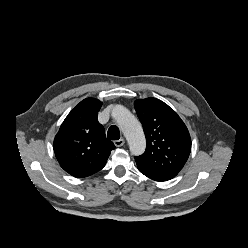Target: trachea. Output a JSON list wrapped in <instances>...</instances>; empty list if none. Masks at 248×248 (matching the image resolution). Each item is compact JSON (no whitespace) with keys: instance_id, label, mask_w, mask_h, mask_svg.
Masks as SVG:
<instances>
[{"instance_id":"1","label":"trachea","mask_w":248,"mask_h":248,"mask_svg":"<svg viewBox=\"0 0 248 248\" xmlns=\"http://www.w3.org/2000/svg\"><path fill=\"white\" fill-rule=\"evenodd\" d=\"M107 136L110 140H119L120 139V131L117 126L112 125L109 127Z\"/></svg>"}]
</instances>
